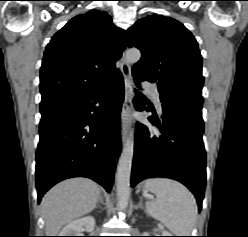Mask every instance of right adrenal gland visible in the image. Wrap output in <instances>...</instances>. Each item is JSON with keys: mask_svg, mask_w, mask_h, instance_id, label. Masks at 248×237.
Returning <instances> with one entry per match:
<instances>
[{"mask_svg": "<svg viewBox=\"0 0 248 237\" xmlns=\"http://www.w3.org/2000/svg\"><path fill=\"white\" fill-rule=\"evenodd\" d=\"M100 203L104 204V202H103V196L102 195H100V198H99V200L97 202L96 208L99 206Z\"/></svg>", "mask_w": 248, "mask_h": 237, "instance_id": "2a0ac1e0", "label": "right adrenal gland"}]
</instances>
